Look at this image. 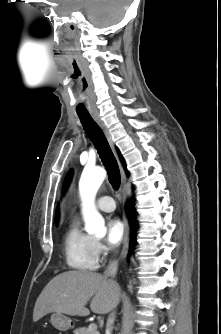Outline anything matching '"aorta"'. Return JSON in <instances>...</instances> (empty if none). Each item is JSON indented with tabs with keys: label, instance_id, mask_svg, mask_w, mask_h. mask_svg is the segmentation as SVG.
<instances>
[{
	"label": "aorta",
	"instance_id": "aorta-1",
	"mask_svg": "<svg viewBox=\"0 0 221 334\" xmlns=\"http://www.w3.org/2000/svg\"><path fill=\"white\" fill-rule=\"evenodd\" d=\"M106 177L101 167L85 169L79 181V193L82 200V211L85 221V230L97 237H104L107 229L102 215L95 207V196Z\"/></svg>",
	"mask_w": 221,
	"mask_h": 334
}]
</instances>
